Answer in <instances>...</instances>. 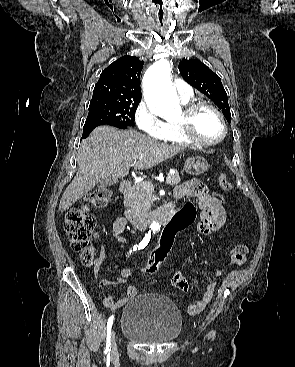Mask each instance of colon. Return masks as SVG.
<instances>
[{
  "mask_svg": "<svg viewBox=\"0 0 295 367\" xmlns=\"http://www.w3.org/2000/svg\"><path fill=\"white\" fill-rule=\"evenodd\" d=\"M220 189L224 191L231 190V183L225 174H220L217 178ZM212 195L217 196L222 206L228 205V200L218 189L212 190ZM111 196L108 189H96L85 197V204L80 208L70 209L64 219V230L69 239L71 247L80 253L82 262L89 266L93 262L94 249L91 245V234L95 226V218L90 212V207L100 208L107 204ZM190 195L184 196V206H181V212L175 219H168L166 224L162 225L161 236L158 241L159 247L154 253L150 265L144 269L146 275H153L158 269V265L168 254L172 246H175L176 236L180 231L188 227L195 220L196 204L191 202ZM248 253V247L245 244H236L230 254V261L236 264H242ZM175 286V285H174Z\"/></svg>",
  "mask_w": 295,
  "mask_h": 367,
  "instance_id": "colon-1",
  "label": "colon"
}]
</instances>
